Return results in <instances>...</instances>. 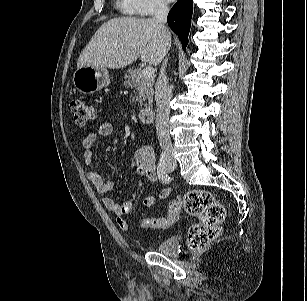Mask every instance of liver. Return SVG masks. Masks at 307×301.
Returning a JSON list of instances; mask_svg holds the SVG:
<instances>
[{"instance_id":"1","label":"liver","mask_w":307,"mask_h":301,"mask_svg":"<svg viewBox=\"0 0 307 301\" xmlns=\"http://www.w3.org/2000/svg\"><path fill=\"white\" fill-rule=\"evenodd\" d=\"M165 40L154 18L119 17L100 26L80 54L77 68L83 66L123 68L139 57L153 65L165 57Z\"/></svg>"}]
</instances>
